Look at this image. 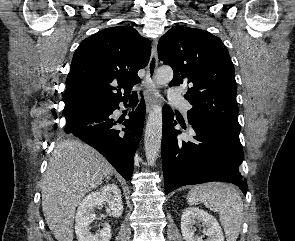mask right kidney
<instances>
[{
  "instance_id": "right-kidney-1",
  "label": "right kidney",
  "mask_w": 295,
  "mask_h": 241,
  "mask_svg": "<svg viewBox=\"0 0 295 241\" xmlns=\"http://www.w3.org/2000/svg\"><path fill=\"white\" fill-rule=\"evenodd\" d=\"M104 204L109 206V215L118 218L122 215L123 204L121 192L117 185L107 184L95 192L88 194L79 204L75 217V233L78 241H110L111 226L103 224V228L96 234L91 233L90 224L95 220V208Z\"/></svg>"
}]
</instances>
